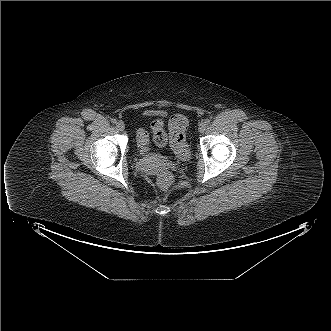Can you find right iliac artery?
<instances>
[{
	"label": "right iliac artery",
	"instance_id": "right-iliac-artery-1",
	"mask_svg": "<svg viewBox=\"0 0 331 331\" xmlns=\"http://www.w3.org/2000/svg\"><path fill=\"white\" fill-rule=\"evenodd\" d=\"M111 123L116 124L117 120L116 119H111Z\"/></svg>",
	"mask_w": 331,
	"mask_h": 331
}]
</instances>
